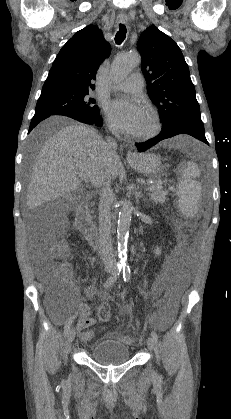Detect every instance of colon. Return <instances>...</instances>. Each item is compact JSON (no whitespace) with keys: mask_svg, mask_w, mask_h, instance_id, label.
<instances>
[{"mask_svg":"<svg viewBox=\"0 0 231 419\" xmlns=\"http://www.w3.org/2000/svg\"><path fill=\"white\" fill-rule=\"evenodd\" d=\"M69 256V247L63 242L59 241L48 249V265L45 270V279L50 285L67 284L71 277V267L67 263ZM98 316L101 321H108L110 319V309L107 305L99 308ZM124 343L131 344L132 339L125 337Z\"/></svg>","mask_w":231,"mask_h":419,"instance_id":"5ec220e1","label":"colon"}]
</instances>
